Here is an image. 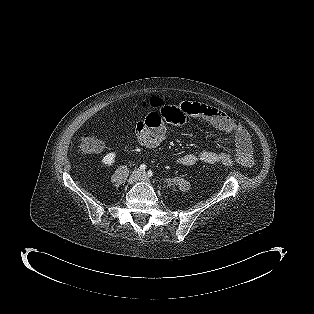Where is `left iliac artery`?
<instances>
[{"mask_svg": "<svg viewBox=\"0 0 314 314\" xmlns=\"http://www.w3.org/2000/svg\"><path fill=\"white\" fill-rule=\"evenodd\" d=\"M148 176L152 177L153 176V172L151 170L148 171Z\"/></svg>", "mask_w": 314, "mask_h": 314, "instance_id": "left-iliac-artery-1", "label": "left iliac artery"}]
</instances>
